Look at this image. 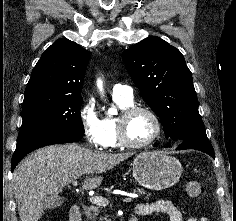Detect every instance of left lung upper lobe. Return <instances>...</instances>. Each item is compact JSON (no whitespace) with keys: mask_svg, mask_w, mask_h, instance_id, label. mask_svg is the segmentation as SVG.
Returning <instances> with one entry per match:
<instances>
[{"mask_svg":"<svg viewBox=\"0 0 236 221\" xmlns=\"http://www.w3.org/2000/svg\"><path fill=\"white\" fill-rule=\"evenodd\" d=\"M127 71L165 135L176 140L207 136L198 112L192 74L181 52L159 37H149L122 54Z\"/></svg>","mask_w":236,"mask_h":221,"instance_id":"left-lung-upper-lobe-1","label":"left lung upper lobe"}]
</instances>
